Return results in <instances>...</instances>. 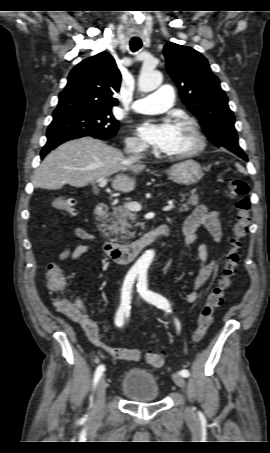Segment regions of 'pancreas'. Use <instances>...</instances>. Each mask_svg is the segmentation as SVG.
I'll return each instance as SVG.
<instances>
[{
  "label": "pancreas",
  "instance_id": "1",
  "mask_svg": "<svg viewBox=\"0 0 270 453\" xmlns=\"http://www.w3.org/2000/svg\"><path fill=\"white\" fill-rule=\"evenodd\" d=\"M182 198V201L187 200L186 203L181 204V210L184 211L189 210V206H196L199 202V197L196 194V190H192L190 194H183ZM135 222L136 214L127 208V204L114 207L110 225H107L106 229L104 230H108L105 235L109 237L120 234L122 239L133 237L135 235V232L131 230L133 229V224Z\"/></svg>",
  "mask_w": 270,
  "mask_h": 453
}]
</instances>
